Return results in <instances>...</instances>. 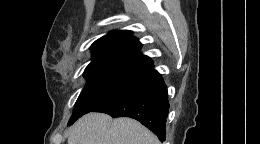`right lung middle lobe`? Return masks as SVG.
Masks as SVG:
<instances>
[{
	"instance_id": "dd1d6c3e",
	"label": "right lung middle lobe",
	"mask_w": 260,
	"mask_h": 144,
	"mask_svg": "<svg viewBox=\"0 0 260 144\" xmlns=\"http://www.w3.org/2000/svg\"><path fill=\"white\" fill-rule=\"evenodd\" d=\"M137 72L109 68H89L84 71L87 84L81 91L69 123L91 112L121 90Z\"/></svg>"
}]
</instances>
